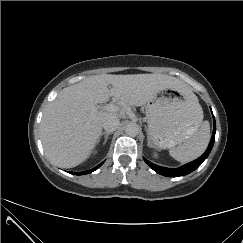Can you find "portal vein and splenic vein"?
Instances as JSON below:
<instances>
[{
	"instance_id": "18ae733b",
	"label": "portal vein and splenic vein",
	"mask_w": 243,
	"mask_h": 243,
	"mask_svg": "<svg viewBox=\"0 0 243 243\" xmlns=\"http://www.w3.org/2000/svg\"><path fill=\"white\" fill-rule=\"evenodd\" d=\"M104 110L109 111V112H118L120 108L112 103L106 105L103 107Z\"/></svg>"
}]
</instances>
